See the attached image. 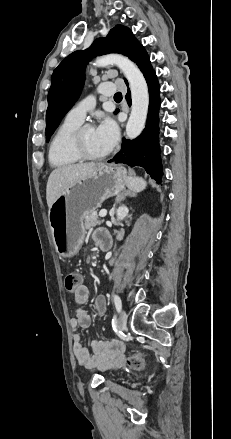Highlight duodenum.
<instances>
[{
	"mask_svg": "<svg viewBox=\"0 0 231 439\" xmlns=\"http://www.w3.org/2000/svg\"><path fill=\"white\" fill-rule=\"evenodd\" d=\"M99 247L103 251H107L111 248V240L104 239L102 242H100Z\"/></svg>",
	"mask_w": 231,
	"mask_h": 439,
	"instance_id": "duodenum-1",
	"label": "duodenum"
}]
</instances>
